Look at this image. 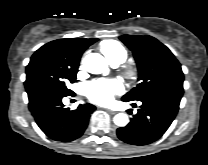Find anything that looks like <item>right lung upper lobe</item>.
I'll return each instance as SVG.
<instances>
[{"label": "right lung upper lobe", "mask_w": 208, "mask_h": 165, "mask_svg": "<svg viewBox=\"0 0 208 165\" xmlns=\"http://www.w3.org/2000/svg\"><path fill=\"white\" fill-rule=\"evenodd\" d=\"M96 41L97 39L67 38V39H58L52 41L51 43L63 45L69 50L75 53H80L82 55V53Z\"/></svg>", "instance_id": "1"}]
</instances>
